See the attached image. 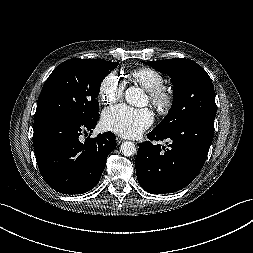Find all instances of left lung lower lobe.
Segmentation results:
<instances>
[{"label": "left lung lower lobe", "mask_w": 253, "mask_h": 253, "mask_svg": "<svg viewBox=\"0 0 253 253\" xmlns=\"http://www.w3.org/2000/svg\"><path fill=\"white\" fill-rule=\"evenodd\" d=\"M214 119L197 118L169 133L153 130L149 140H168V148L146 141L139 145L135 167L143 189L152 194L173 193L200 172L213 140ZM168 144V142H166Z\"/></svg>", "instance_id": "left-lung-lower-lobe-1"}]
</instances>
